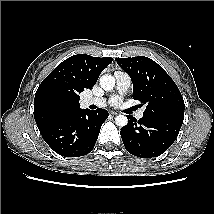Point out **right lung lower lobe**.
Returning a JSON list of instances; mask_svg holds the SVG:
<instances>
[{
	"mask_svg": "<svg viewBox=\"0 0 214 214\" xmlns=\"http://www.w3.org/2000/svg\"><path fill=\"white\" fill-rule=\"evenodd\" d=\"M104 109H76L65 113L40 131L45 142L58 154L79 157L94 148L101 125L108 118Z\"/></svg>",
	"mask_w": 214,
	"mask_h": 214,
	"instance_id": "obj_1",
	"label": "right lung lower lobe"
}]
</instances>
